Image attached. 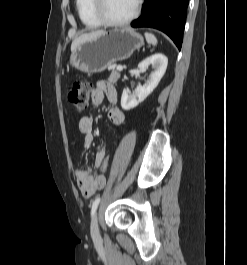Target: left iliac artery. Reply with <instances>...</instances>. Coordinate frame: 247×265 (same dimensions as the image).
Masks as SVG:
<instances>
[{"label": "left iliac artery", "mask_w": 247, "mask_h": 265, "mask_svg": "<svg viewBox=\"0 0 247 265\" xmlns=\"http://www.w3.org/2000/svg\"><path fill=\"white\" fill-rule=\"evenodd\" d=\"M100 200H101V198L98 197V198H96L95 201L93 202V204H92V208H91V216H93V215L95 214L96 209H97V207H98V205H99Z\"/></svg>", "instance_id": "44dca946"}]
</instances>
